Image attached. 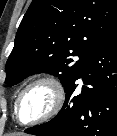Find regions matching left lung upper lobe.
<instances>
[{
  "label": "left lung upper lobe",
  "mask_w": 117,
  "mask_h": 136,
  "mask_svg": "<svg viewBox=\"0 0 117 136\" xmlns=\"http://www.w3.org/2000/svg\"><path fill=\"white\" fill-rule=\"evenodd\" d=\"M115 23L117 0H33L7 60L5 83L46 72L58 76L66 89ZM73 56L80 59L75 62Z\"/></svg>",
  "instance_id": "1"
}]
</instances>
